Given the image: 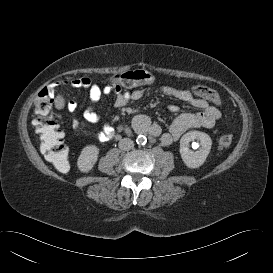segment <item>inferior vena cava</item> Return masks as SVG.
<instances>
[{"label":"inferior vena cava","instance_id":"1","mask_svg":"<svg viewBox=\"0 0 273 273\" xmlns=\"http://www.w3.org/2000/svg\"><path fill=\"white\" fill-rule=\"evenodd\" d=\"M118 146L121 150L128 151L134 147V143L129 138H123L119 141Z\"/></svg>","mask_w":273,"mask_h":273}]
</instances>
